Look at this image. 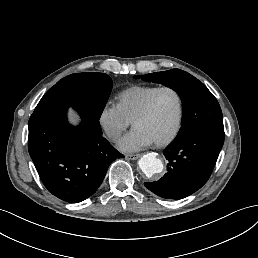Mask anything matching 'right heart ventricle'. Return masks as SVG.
I'll list each match as a JSON object with an SVG mask.
<instances>
[{"label": "right heart ventricle", "instance_id": "obj_1", "mask_svg": "<svg viewBox=\"0 0 258 258\" xmlns=\"http://www.w3.org/2000/svg\"><path fill=\"white\" fill-rule=\"evenodd\" d=\"M155 85H136L121 91L116 106L130 124H135L149 98L158 89Z\"/></svg>", "mask_w": 258, "mask_h": 258}]
</instances>
